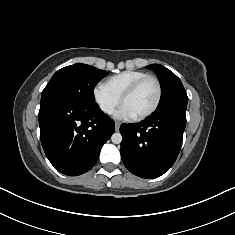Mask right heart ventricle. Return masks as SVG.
Returning <instances> with one entry per match:
<instances>
[{"label":"right heart ventricle","instance_id":"e07e8e85","mask_svg":"<svg viewBox=\"0 0 235 235\" xmlns=\"http://www.w3.org/2000/svg\"><path fill=\"white\" fill-rule=\"evenodd\" d=\"M148 75L146 72L139 70H127L109 77L105 85L118 97L137 80Z\"/></svg>","mask_w":235,"mask_h":235}]
</instances>
